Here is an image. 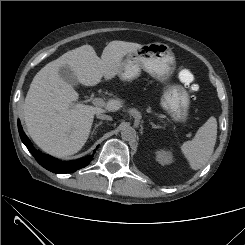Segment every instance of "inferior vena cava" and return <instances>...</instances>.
Here are the masks:
<instances>
[{
  "label": "inferior vena cava",
  "mask_w": 245,
  "mask_h": 245,
  "mask_svg": "<svg viewBox=\"0 0 245 245\" xmlns=\"http://www.w3.org/2000/svg\"><path fill=\"white\" fill-rule=\"evenodd\" d=\"M96 117H97L98 119H102V120H112V117H111V116L106 115V114H103V113H101V112H97V113H96Z\"/></svg>",
  "instance_id": "inferior-vena-cava-1"
}]
</instances>
